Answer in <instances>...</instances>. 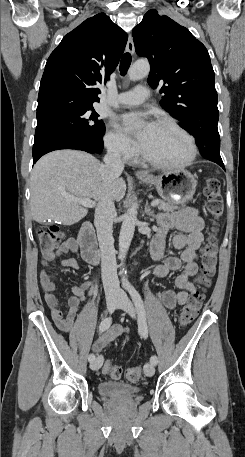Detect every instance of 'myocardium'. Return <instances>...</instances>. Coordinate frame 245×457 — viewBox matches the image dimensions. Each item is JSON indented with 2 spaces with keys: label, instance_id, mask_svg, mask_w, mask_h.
<instances>
[{
  "label": "myocardium",
  "instance_id": "obj_1",
  "mask_svg": "<svg viewBox=\"0 0 245 457\" xmlns=\"http://www.w3.org/2000/svg\"><path fill=\"white\" fill-rule=\"evenodd\" d=\"M157 127L170 128V129H173V130L179 132L181 135H183L185 137V139L187 140V143H188V145H187V155L183 160H181L179 162H172V161H168V160L155 159V158H153L151 156H148V155H146L144 153H141L142 159L145 162H147L148 164H150V165H152L154 167L162 168V169H181V168H184V167L190 165L191 162L194 160L195 155H196L194 138L184 128H182L176 122H173V121H171L169 119L161 120L157 124Z\"/></svg>",
  "mask_w": 245,
  "mask_h": 457
}]
</instances>
